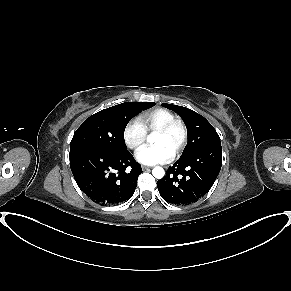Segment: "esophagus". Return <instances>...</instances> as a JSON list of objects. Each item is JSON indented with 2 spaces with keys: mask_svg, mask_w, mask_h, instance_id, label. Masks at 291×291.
<instances>
[{
  "mask_svg": "<svg viewBox=\"0 0 291 291\" xmlns=\"http://www.w3.org/2000/svg\"><path fill=\"white\" fill-rule=\"evenodd\" d=\"M142 169L143 170H147V169H150V167H148V166H142Z\"/></svg>",
  "mask_w": 291,
  "mask_h": 291,
  "instance_id": "esophagus-1",
  "label": "esophagus"
}]
</instances>
